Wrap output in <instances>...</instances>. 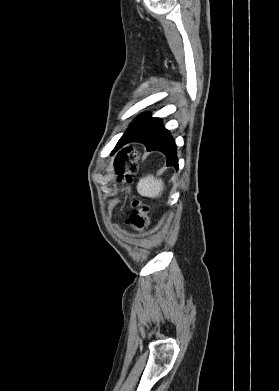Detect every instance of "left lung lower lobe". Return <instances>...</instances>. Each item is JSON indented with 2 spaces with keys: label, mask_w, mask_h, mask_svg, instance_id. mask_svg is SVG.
<instances>
[{
  "label": "left lung lower lobe",
  "mask_w": 279,
  "mask_h": 391,
  "mask_svg": "<svg viewBox=\"0 0 279 391\" xmlns=\"http://www.w3.org/2000/svg\"><path fill=\"white\" fill-rule=\"evenodd\" d=\"M130 142L143 143L148 151H162L166 155L167 166H175L178 168L175 141L170 133L164 128L161 120L140 134L125 137L118 148Z\"/></svg>",
  "instance_id": "0a47b994"
}]
</instances>
